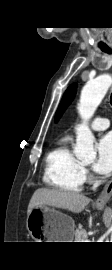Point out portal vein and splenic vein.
<instances>
[{"instance_id": "obj_1", "label": "portal vein and splenic vein", "mask_w": 112, "mask_h": 270, "mask_svg": "<svg viewBox=\"0 0 112 270\" xmlns=\"http://www.w3.org/2000/svg\"><path fill=\"white\" fill-rule=\"evenodd\" d=\"M85 242H91L90 240H85Z\"/></svg>"}]
</instances>
